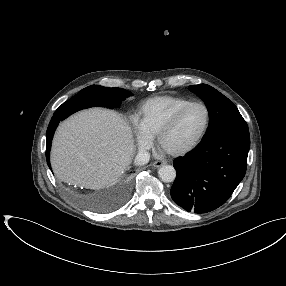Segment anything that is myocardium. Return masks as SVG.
Masks as SVG:
<instances>
[{
	"label": "myocardium",
	"mask_w": 286,
	"mask_h": 286,
	"mask_svg": "<svg viewBox=\"0 0 286 286\" xmlns=\"http://www.w3.org/2000/svg\"><path fill=\"white\" fill-rule=\"evenodd\" d=\"M195 105L202 106L205 110V113H206V121H205V125H204V128H203L201 134L198 136V138L192 144H190L189 146L184 147L182 149L169 150V149L165 148L164 147V138L167 135V133L175 127V125L179 122V120L185 114V112ZM210 124H211V113H210V109L208 108V106L202 101H192V102L188 103L187 105L183 106L182 108H180L161 127V129L159 130V132L157 134L158 147L163 152H165L166 154L171 155V156H182V155L188 154L191 151L195 150L202 143V141L204 140V138L206 137V135L209 131Z\"/></svg>",
	"instance_id": "obj_1"
}]
</instances>
